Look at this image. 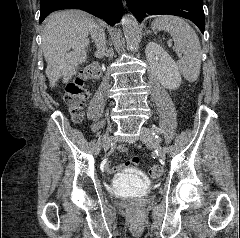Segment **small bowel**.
Listing matches in <instances>:
<instances>
[{"instance_id":"small-bowel-1","label":"small bowel","mask_w":240,"mask_h":238,"mask_svg":"<svg viewBox=\"0 0 240 238\" xmlns=\"http://www.w3.org/2000/svg\"><path fill=\"white\" fill-rule=\"evenodd\" d=\"M134 143H121L120 146L116 147L117 151L126 152V148H134ZM140 163L139 156H130V159L126 160V164H117L116 167L106 166V170L104 171L105 175H111L112 172H117L118 169H128L129 167H138Z\"/></svg>"}]
</instances>
